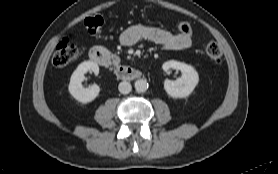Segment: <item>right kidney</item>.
<instances>
[{
	"label": "right kidney",
	"mask_w": 278,
	"mask_h": 174,
	"mask_svg": "<svg viewBox=\"0 0 278 174\" xmlns=\"http://www.w3.org/2000/svg\"><path fill=\"white\" fill-rule=\"evenodd\" d=\"M88 71L94 72L97 75L99 73L98 64L92 61H84L79 64L77 69L71 75L68 86L71 96L82 103H89L93 101L100 92V88L96 84H93L88 88H84L82 86L84 75Z\"/></svg>",
	"instance_id": "1"
}]
</instances>
